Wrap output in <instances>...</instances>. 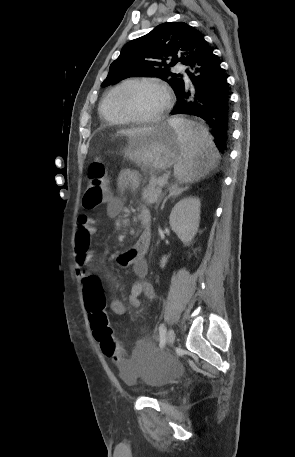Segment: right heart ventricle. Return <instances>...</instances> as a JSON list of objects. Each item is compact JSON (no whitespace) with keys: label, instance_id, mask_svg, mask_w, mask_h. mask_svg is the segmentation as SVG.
<instances>
[{"label":"right heart ventricle","instance_id":"obj_1","mask_svg":"<svg viewBox=\"0 0 295 457\" xmlns=\"http://www.w3.org/2000/svg\"><path fill=\"white\" fill-rule=\"evenodd\" d=\"M126 82L128 81L121 82L110 88L100 102L99 113L101 117L110 124L120 125L130 122L118 111L115 103V97L118 90Z\"/></svg>","mask_w":295,"mask_h":457}]
</instances>
